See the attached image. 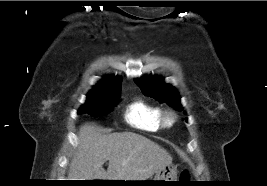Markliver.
Instances as JSON below:
<instances>
[{
    "label": "liver",
    "mask_w": 267,
    "mask_h": 186,
    "mask_svg": "<svg viewBox=\"0 0 267 186\" xmlns=\"http://www.w3.org/2000/svg\"><path fill=\"white\" fill-rule=\"evenodd\" d=\"M109 161L107 171L103 164ZM172 163L171 155L150 139L132 132L105 135L86 123L69 164V180L144 181Z\"/></svg>",
    "instance_id": "obj_1"
}]
</instances>
